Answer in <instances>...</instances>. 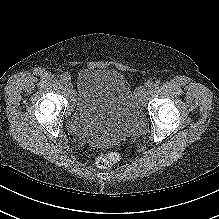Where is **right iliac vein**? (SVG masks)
Instances as JSON below:
<instances>
[{
	"mask_svg": "<svg viewBox=\"0 0 219 219\" xmlns=\"http://www.w3.org/2000/svg\"><path fill=\"white\" fill-rule=\"evenodd\" d=\"M66 87L69 89V91L71 92V94H73V87H72V84L67 82L66 83Z\"/></svg>",
	"mask_w": 219,
	"mask_h": 219,
	"instance_id": "right-iliac-vein-1",
	"label": "right iliac vein"
}]
</instances>
